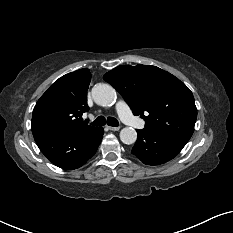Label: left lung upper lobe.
Returning a JSON list of instances; mask_svg holds the SVG:
<instances>
[{"mask_svg": "<svg viewBox=\"0 0 233 233\" xmlns=\"http://www.w3.org/2000/svg\"><path fill=\"white\" fill-rule=\"evenodd\" d=\"M103 78L124 97L135 115L144 118L145 129L191 138L197 109L192 92L178 78L156 66L141 64L118 66Z\"/></svg>", "mask_w": 233, "mask_h": 233, "instance_id": "left-lung-upper-lobe-1", "label": "left lung upper lobe"}]
</instances>
